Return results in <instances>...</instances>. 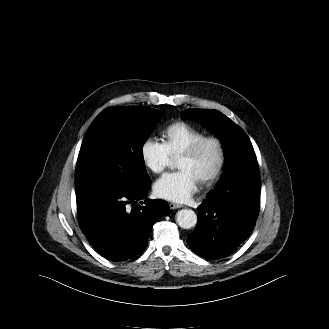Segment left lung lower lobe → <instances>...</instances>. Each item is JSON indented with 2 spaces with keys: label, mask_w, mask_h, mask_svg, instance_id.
Segmentation results:
<instances>
[{
  "label": "left lung lower lobe",
  "mask_w": 329,
  "mask_h": 329,
  "mask_svg": "<svg viewBox=\"0 0 329 329\" xmlns=\"http://www.w3.org/2000/svg\"><path fill=\"white\" fill-rule=\"evenodd\" d=\"M225 187L223 199H206L197 208L199 222L187 238L189 247L206 259L227 257L251 234L259 212L258 165Z\"/></svg>",
  "instance_id": "left-lung-lower-lobe-1"
}]
</instances>
